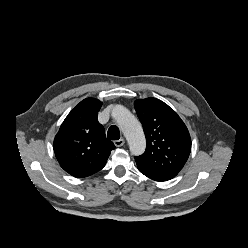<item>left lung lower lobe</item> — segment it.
Instances as JSON below:
<instances>
[{
  "instance_id": "obj_1",
  "label": "left lung lower lobe",
  "mask_w": 248,
  "mask_h": 248,
  "mask_svg": "<svg viewBox=\"0 0 248 248\" xmlns=\"http://www.w3.org/2000/svg\"><path fill=\"white\" fill-rule=\"evenodd\" d=\"M136 163H137V166H138V170L142 174H144L145 176L149 177L152 180H155V181H167V180H170V179L175 177L174 175H171V174H168V173H165V172H160V171L150 169V168L140 164L137 161H136Z\"/></svg>"
}]
</instances>
